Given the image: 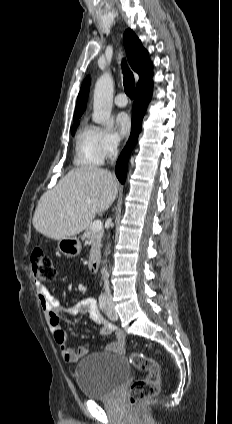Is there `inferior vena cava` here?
Segmentation results:
<instances>
[{"label": "inferior vena cava", "mask_w": 232, "mask_h": 424, "mask_svg": "<svg viewBox=\"0 0 232 424\" xmlns=\"http://www.w3.org/2000/svg\"><path fill=\"white\" fill-rule=\"evenodd\" d=\"M112 146H113V149H114V156L116 158V156L118 154V150H117L118 141L117 140L113 141ZM101 273H102V279L104 280V289H105L106 298L111 299V293H110L109 281H108L109 274H108L105 267L102 269Z\"/></svg>", "instance_id": "obj_1"}]
</instances>
